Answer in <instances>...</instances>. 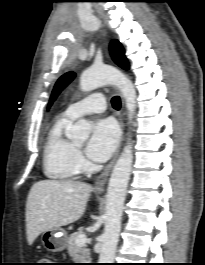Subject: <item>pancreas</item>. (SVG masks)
<instances>
[{
  "mask_svg": "<svg viewBox=\"0 0 205 265\" xmlns=\"http://www.w3.org/2000/svg\"><path fill=\"white\" fill-rule=\"evenodd\" d=\"M83 234L82 230H79L78 232H74L70 235V237L67 240V250L69 255L78 263H88L90 258V250L86 248V245L78 246L76 244V238Z\"/></svg>",
  "mask_w": 205,
  "mask_h": 265,
  "instance_id": "pancreas-1",
  "label": "pancreas"
}]
</instances>
